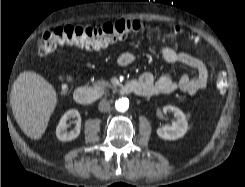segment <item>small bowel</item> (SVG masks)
<instances>
[{"label": "small bowel", "mask_w": 245, "mask_h": 187, "mask_svg": "<svg viewBox=\"0 0 245 187\" xmlns=\"http://www.w3.org/2000/svg\"><path fill=\"white\" fill-rule=\"evenodd\" d=\"M160 54L167 63H181L187 65L195 69L197 75L192 77L188 74H183L178 80H173L166 75L156 79L150 73H143L138 78V81L144 87V96L164 95L176 90L195 96L206 89L209 81V72L201 60L188 53L177 51L170 46H162L160 48ZM133 61L134 56L128 51L120 53L117 58L118 64L123 67L130 66Z\"/></svg>", "instance_id": "obj_1"}]
</instances>
